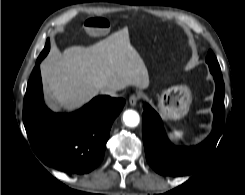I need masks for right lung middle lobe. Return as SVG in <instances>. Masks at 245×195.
Segmentation results:
<instances>
[{
  "instance_id": "1",
  "label": "right lung middle lobe",
  "mask_w": 245,
  "mask_h": 195,
  "mask_svg": "<svg viewBox=\"0 0 245 195\" xmlns=\"http://www.w3.org/2000/svg\"><path fill=\"white\" fill-rule=\"evenodd\" d=\"M49 49L50 48H48V47L45 46L44 50L40 54V56H41L42 59L48 54Z\"/></svg>"
}]
</instances>
